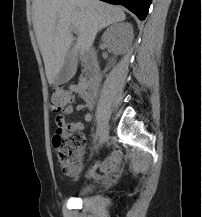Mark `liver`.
<instances>
[{"label": "liver", "mask_w": 202, "mask_h": 217, "mask_svg": "<svg viewBox=\"0 0 202 217\" xmlns=\"http://www.w3.org/2000/svg\"><path fill=\"white\" fill-rule=\"evenodd\" d=\"M33 28L43 57L48 83L52 84L70 53L74 38L71 27L78 30L73 51L82 55L99 30L123 21L124 11L100 0H34Z\"/></svg>", "instance_id": "6515ba94"}]
</instances>
